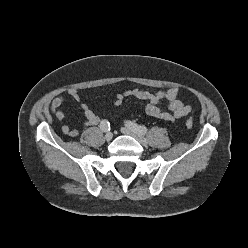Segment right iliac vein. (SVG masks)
Returning a JSON list of instances; mask_svg holds the SVG:
<instances>
[{
    "mask_svg": "<svg viewBox=\"0 0 248 248\" xmlns=\"http://www.w3.org/2000/svg\"><path fill=\"white\" fill-rule=\"evenodd\" d=\"M112 138H113V133H112V132L106 133L105 139H106L107 141H110Z\"/></svg>",
    "mask_w": 248,
    "mask_h": 248,
    "instance_id": "right-iliac-vein-1",
    "label": "right iliac vein"
}]
</instances>
